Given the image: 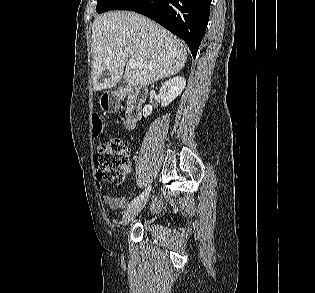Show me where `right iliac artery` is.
Returning a JSON list of instances; mask_svg holds the SVG:
<instances>
[{
  "label": "right iliac artery",
  "instance_id": "obj_1",
  "mask_svg": "<svg viewBox=\"0 0 315 293\" xmlns=\"http://www.w3.org/2000/svg\"><path fill=\"white\" fill-rule=\"evenodd\" d=\"M150 190H151V185H149V186L147 187V189H146L142 194H140L138 197L134 198V199L131 201V203L129 204V206H130V205H133V204H136V203H138V202H140V201H142L145 197L148 196Z\"/></svg>",
  "mask_w": 315,
  "mask_h": 293
}]
</instances>
